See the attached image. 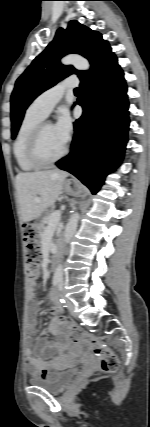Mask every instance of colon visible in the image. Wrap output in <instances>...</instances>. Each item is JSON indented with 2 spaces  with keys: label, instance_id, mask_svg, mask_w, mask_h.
Instances as JSON below:
<instances>
[{
  "label": "colon",
  "instance_id": "colon-1",
  "mask_svg": "<svg viewBox=\"0 0 150 427\" xmlns=\"http://www.w3.org/2000/svg\"><path fill=\"white\" fill-rule=\"evenodd\" d=\"M23 239L26 247V270L33 277L39 268L41 247L35 230L31 226L24 227ZM58 326L69 332L72 340L87 345L100 359L101 371L111 374L117 371L119 360L116 354L98 337L84 335L76 326L58 322Z\"/></svg>",
  "mask_w": 150,
  "mask_h": 427
}]
</instances>
